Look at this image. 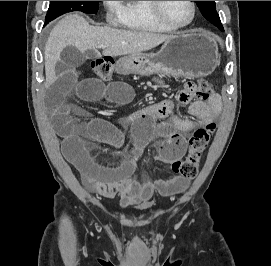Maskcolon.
<instances>
[{"label": "colon", "instance_id": "5ec220e1", "mask_svg": "<svg viewBox=\"0 0 271 266\" xmlns=\"http://www.w3.org/2000/svg\"><path fill=\"white\" fill-rule=\"evenodd\" d=\"M95 75L101 80H107L113 72V60L110 58H98L91 64ZM214 95V87L208 80L202 79L197 82H187L179 92L178 98H195L200 101H207ZM215 131V124L210 123L196 129L191 135L188 145V154L183 160L174 161L170 170L183 179H193L199 167L202 153L207 148Z\"/></svg>", "mask_w": 271, "mask_h": 266}]
</instances>
